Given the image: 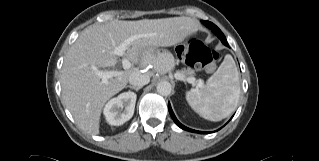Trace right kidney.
Returning a JSON list of instances; mask_svg holds the SVG:
<instances>
[{
    "instance_id": "right-kidney-1",
    "label": "right kidney",
    "mask_w": 319,
    "mask_h": 161,
    "mask_svg": "<svg viewBox=\"0 0 319 161\" xmlns=\"http://www.w3.org/2000/svg\"><path fill=\"white\" fill-rule=\"evenodd\" d=\"M136 97L134 92L128 91L108 101L103 111L106 121L119 126L130 120L134 114Z\"/></svg>"
}]
</instances>
